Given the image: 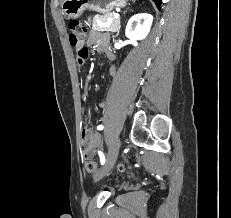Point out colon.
Segmentation results:
<instances>
[{
  "instance_id": "colon-1",
  "label": "colon",
  "mask_w": 231,
  "mask_h": 218,
  "mask_svg": "<svg viewBox=\"0 0 231 218\" xmlns=\"http://www.w3.org/2000/svg\"><path fill=\"white\" fill-rule=\"evenodd\" d=\"M68 32L69 40L72 46H78L84 44L87 38V29L78 21L70 20L68 22ZM88 49L83 46L77 53V58H82L86 56L88 58ZM85 168L89 173L97 172V163L93 160H87L85 163ZM120 170H124L123 166L119 167Z\"/></svg>"
}]
</instances>
